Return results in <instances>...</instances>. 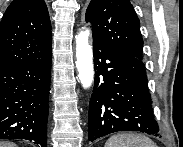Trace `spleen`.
I'll list each match as a JSON object with an SVG mask.
<instances>
[{"mask_svg": "<svg viewBox=\"0 0 183 147\" xmlns=\"http://www.w3.org/2000/svg\"><path fill=\"white\" fill-rule=\"evenodd\" d=\"M105 147H157L148 137L140 134L122 133L111 136Z\"/></svg>", "mask_w": 183, "mask_h": 147, "instance_id": "3e777b00", "label": "spleen"}]
</instances>
